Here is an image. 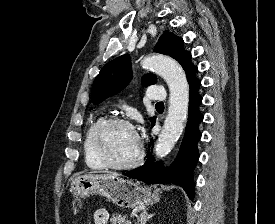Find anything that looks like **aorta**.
<instances>
[{
    "label": "aorta",
    "mask_w": 275,
    "mask_h": 224,
    "mask_svg": "<svg viewBox=\"0 0 275 224\" xmlns=\"http://www.w3.org/2000/svg\"><path fill=\"white\" fill-rule=\"evenodd\" d=\"M142 66L163 77L170 90L168 114L155 145L156 156L163 158L183 132L188 114L189 85L182 67L170 57L149 56L142 60Z\"/></svg>",
    "instance_id": "1"
}]
</instances>
